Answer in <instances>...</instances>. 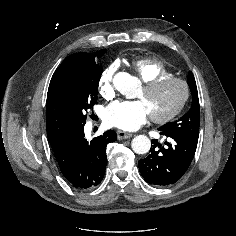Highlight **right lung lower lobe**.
I'll return each mask as SVG.
<instances>
[{
  "label": "right lung lower lobe",
  "mask_w": 236,
  "mask_h": 236,
  "mask_svg": "<svg viewBox=\"0 0 236 236\" xmlns=\"http://www.w3.org/2000/svg\"><path fill=\"white\" fill-rule=\"evenodd\" d=\"M117 140L113 130L87 141L84 126L72 129L55 148L54 156L64 178L76 189L87 190L103 179L107 164L106 147Z\"/></svg>",
  "instance_id": "right-lung-lower-lobe-1"
}]
</instances>
